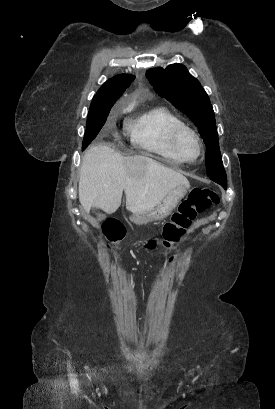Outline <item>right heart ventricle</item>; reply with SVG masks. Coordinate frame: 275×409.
<instances>
[{"mask_svg": "<svg viewBox=\"0 0 275 409\" xmlns=\"http://www.w3.org/2000/svg\"><path fill=\"white\" fill-rule=\"evenodd\" d=\"M184 123L168 109L159 107L129 122L126 129L133 146L157 157H174L171 149L173 132Z\"/></svg>", "mask_w": 275, "mask_h": 409, "instance_id": "right-heart-ventricle-1", "label": "right heart ventricle"}]
</instances>
